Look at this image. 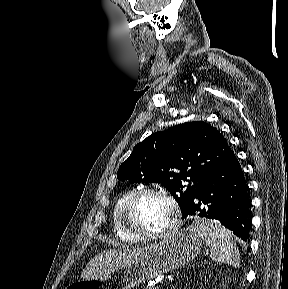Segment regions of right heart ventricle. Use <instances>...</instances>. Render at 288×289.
I'll return each mask as SVG.
<instances>
[{
	"mask_svg": "<svg viewBox=\"0 0 288 289\" xmlns=\"http://www.w3.org/2000/svg\"><path fill=\"white\" fill-rule=\"evenodd\" d=\"M134 193V189L124 191L116 200L111 212L112 226L115 236L122 242L127 244H133L138 242V239L128 234L121 225L120 222V209L124 202Z\"/></svg>",
	"mask_w": 288,
	"mask_h": 289,
	"instance_id": "e07e8e85",
	"label": "right heart ventricle"
}]
</instances>
